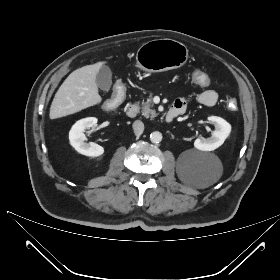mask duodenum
Segmentation results:
<instances>
[{"label":"duodenum","mask_w":280,"mask_h":280,"mask_svg":"<svg viewBox=\"0 0 280 280\" xmlns=\"http://www.w3.org/2000/svg\"><path fill=\"white\" fill-rule=\"evenodd\" d=\"M138 113V106L135 103H129L126 107V114L130 118L136 117ZM182 113V110L176 108V107H171L165 116V119L167 122L173 121L174 118H176L178 115Z\"/></svg>","instance_id":"duodenum-1"}]
</instances>
